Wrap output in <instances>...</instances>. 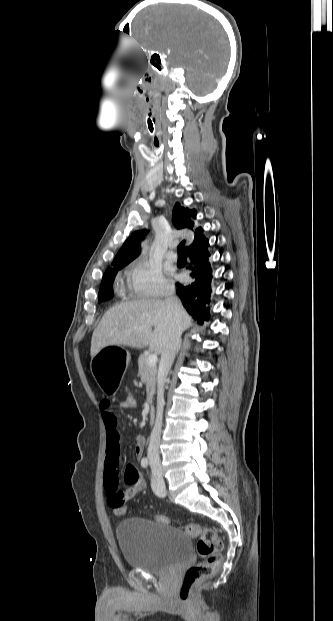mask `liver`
<instances>
[{"label": "liver", "instance_id": "obj_1", "mask_svg": "<svg viewBox=\"0 0 333 621\" xmlns=\"http://www.w3.org/2000/svg\"><path fill=\"white\" fill-rule=\"evenodd\" d=\"M177 320L186 330L191 318L181 306ZM170 326L167 305L162 300H133L110 308L94 330L91 357L107 346H129L142 349L149 346L162 353ZM152 327L154 330L152 331Z\"/></svg>", "mask_w": 333, "mask_h": 621}]
</instances>
